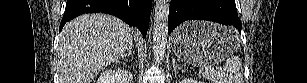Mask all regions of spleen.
Wrapping results in <instances>:
<instances>
[{"mask_svg": "<svg viewBox=\"0 0 307 83\" xmlns=\"http://www.w3.org/2000/svg\"><path fill=\"white\" fill-rule=\"evenodd\" d=\"M200 73L214 83H244L242 63L238 56L226 60L223 69H215L212 65H203Z\"/></svg>", "mask_w": 307, "mask_h": 83, "instance_id": "3e777b00", "label": "spleen"}]
</instances>
